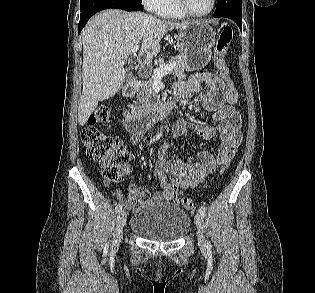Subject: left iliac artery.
Here are the masks:
<instances>
[{
	"label": "left iliac artery",
	"instance_id": "44dca946",
	"mask_svg": "<svg viewBox=\"0 0 315 293\" xmlns=\"http://www.w3.org/2000/svg\"><path fill=\"white\" fill-rule=\"evenodd\" d=\"M199 213L201 214L202 217L206 216V211L203 207H200L199 209ZM206 247L209 249L211 248V244L209 242H207Z\"/></svg>",
	"mask_w": 315,
	"mask_h": 293
}]
</instances>
